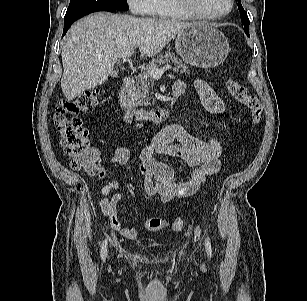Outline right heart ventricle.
Here are the masks:
<instances>
[{
    "label": "right heart ventricle",
    "instance_id": "right-heart-ventricle-1",
    "mask_svg": "<svg viewBox=\"0 0 307 301\" xmlns=\"http://www.w3.org/2000/svg\"><path fill=\"white\" fill-rule=\"evenodd\" d=\"M152 16L158 19H192L191 16L180 10L173 0H156V9Z\"/></svg>",
    "mask_w": 307,
    "mask_h": 301
}]
</instances>
